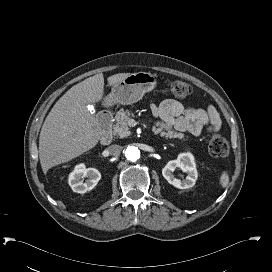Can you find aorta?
<instances>
[{"instance_id": "1", "label": "aorta", "mask_w": 272, "mask_h": 272, "mask_svg": "<svg viewBox=\"0 0 272 272\" xmlns=\"http://www.w3.org/2000/svg\"><path fill=\"white\" fill-rule=\"evenodd\" d=\"M125 157L127 158V160L129 161H136L140 158V150L135 147V146H128L126 149H125Z\"/></svg>"}]
</instances>
